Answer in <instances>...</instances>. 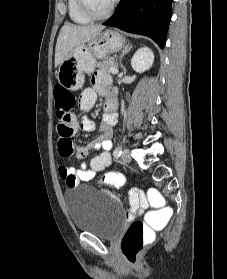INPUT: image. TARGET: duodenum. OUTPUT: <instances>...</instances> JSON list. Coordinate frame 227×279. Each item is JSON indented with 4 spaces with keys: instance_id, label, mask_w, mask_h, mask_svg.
Returning a JSON list of instances; mask_svg holds the SVG:
<instances>
[{
    "instance_id": "410a0bca",
    "label": "duodenum",
    "mask_w": 227,
    "mask_h": 279,
    "mask_svg": "<svg viewBox=\"0 0 227 279\" xmlns=\"http://www.w3.org/2000/svg\"><path fill=\"white\" fill-rule=\"evenodd\" d=\"M108 111H110L112 113L116 112V106L113 105V104H110L109 107H108Z\"/></svg>"
}]
</instances>
